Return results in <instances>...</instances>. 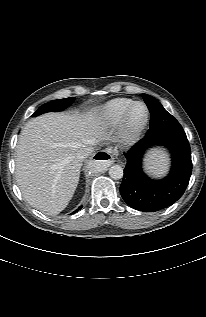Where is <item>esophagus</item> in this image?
<instances>
[{
	"label": "esophagus",
	"instance_id": "34e87169",
	"mask_svg": "<svg viewBox=\"0 0 206 317\" xmlns=\"http://www.w3.org/2000/svg\"><path fill=\"white\" fill-rule=\"evenodd\" d=\"M117 150L113 147H108L102 151L97 152L94 155V162L104 164V166H110L114 162V155Z\"/></svg>",
	"mask_w": 206,
	"mask_h": 317
}]
</instances>
